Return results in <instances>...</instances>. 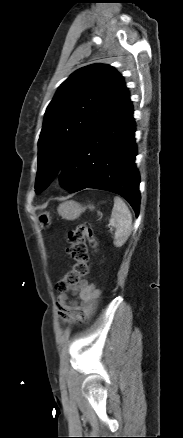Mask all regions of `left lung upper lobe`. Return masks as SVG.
Masks as SVG:
<instances>
[{
	"label": "left lung upper lobe",
	"instance_id": "5c2ea615",
	"mask_svg": "<svg viewBox=\"0 0 183 438\" xmlns=\"http://www.w3.org/2000/svg\"><path fill=\"white\" fill-rule=\"evenodd\" d=\"M121 74L94 64L74 72L47 107L38 141L36 193L42 192L75 149L127 99Z\"/></svg>",
	"mask_w": 183,
	"mask_h": 438
}]
</instances>
